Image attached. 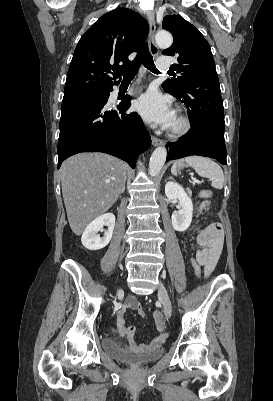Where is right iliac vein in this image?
Segmentation results:
<instances>
[{"label":"right iliac vein","mask_w":273,"mask_h":401,"mask_svg":"<svg viewBox=\"0 0 273 401\" xmlns=\"http://www.w3.org/2000/svg\"><path fill=\"white\" fill-rule=\"evenodd\" d=\"M122 292H123V290H122V289H119L118 292H117V295H119V294L122 293Z\"/></svg>","instance_id":"1"}]
</instances>
